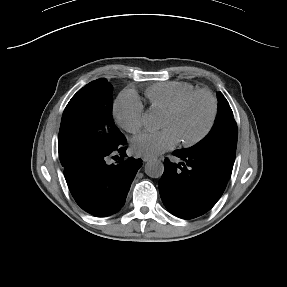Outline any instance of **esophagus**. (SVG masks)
I'll return each instance as SVG.
<instances>
[{"instance_id":"1","label":"esophagus","mask_w":287,"mask_h":287,"mask_svg":"<svg viewBox=\"0 0 287 287\" xmlns=\"http://www.w3.org/2000/svg\"><path fill=\"white\" fill-rule=\"evenodd\" d=\"M142 159H143L144 162L152 160V158L148 157V156H144Z\"/></svg>"}]
</instances>
